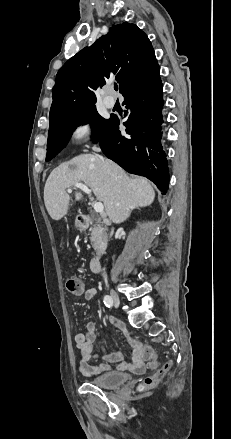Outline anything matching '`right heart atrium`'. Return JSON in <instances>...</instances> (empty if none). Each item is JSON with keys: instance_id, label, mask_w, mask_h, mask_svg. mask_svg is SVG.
Returning <instances> with one entry per match:
<instances>
[{"instance_id": "d8ad5b80", "label": "right heart atrium", "mask_w": 231, "mask_h": 439, "mask_svg": "<svg viewBox=\"0 0 231 439\" xmlns=\"http://www.w3.org/2000/svg\"><path fill=\"white\" fill-rule=\"evenodd\" d=\"M92 134V124L89 121H81L73 127L70 133V141L73 144H80L87 141Z\"/></svg>"}]
</instances>
